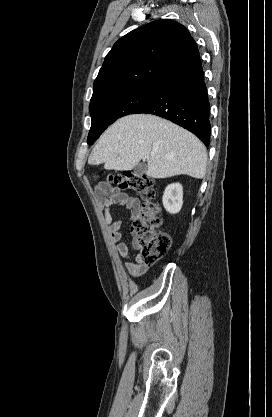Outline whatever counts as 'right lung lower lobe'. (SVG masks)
<instances>
[{
	"instance_id": "obj_1",
	"label": "right lung lower lobe",
	"mask_w": 272,
	"mask_h": 417,
	"mask_svg": "<svg viewBox=\"0 0 272 417\" xmlns=\"http://www.w3.org/2000/svg\"><path fill=\"white\" fill-rule=\"evenodd\" d=\"M209 100L200 57L166 79L142 106L133 112L166 118L210 143Z\"/></svg>"
}]
</instances>
